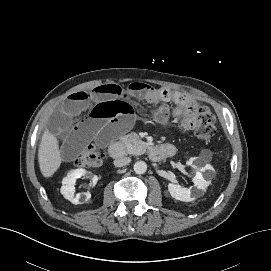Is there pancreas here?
<instances>
[{
    "instance_id": "cf45deb5",
    "label": "pancreas",
    "mask_w": 271,
    "mask_h": 271,
    "mask_svg": "<svg viewBox=\"0 0 271 271\" xmlns=\"http://www.w3.org/2000/svg\"><path fill=\"white\" fill-rule=\"evenodd\" d=\"M121 142L126 147L127 153L132 155L142 154L146 147V143L136 133L125 135L121 138Z\"/></svg>"
}]
</instances>
